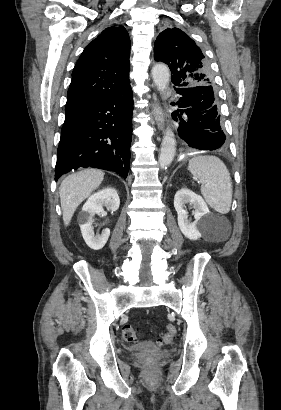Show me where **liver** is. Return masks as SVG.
Returning a JSON list of instances; mask_svg holds the SVG:
<instances>
[{
    "instance_id": "liver-1",
    "label": "liver",
    "mask_w": 281,
    "mask_h": 410,
    "mask_svg": "<svg viewBox=\"0 0 281 410\" xmlns=\"http://www.w3.org/2000/svg\"><path fill=\"white\" fill-rule=\"evenodd\" d=\"M104 172L84 169L67 176L60 185L59 195L64 225L68 226L77 207L99 187Z\"/></svg>"
}]
</instances>
